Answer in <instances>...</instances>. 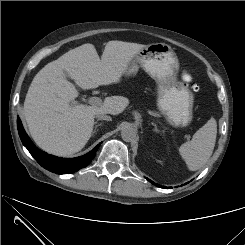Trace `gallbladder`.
Here are the masks:
<instances>
[{"label": "gallbladder", "mask_w": 245, "mask_h": 245, "mask_svg": "<svg viewBox=\"0 0 245 245\" xmlns=\"http://www.w3.org/2000/svg\"><path fill=\"white\" fill-rule=\"evenodd\" d=\"M66 78L69 79L68 75L66 74Z\"/></svg>", "instance_id": "1"}]
</instances>
